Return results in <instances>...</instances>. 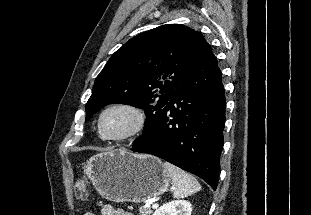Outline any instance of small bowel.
Here are the masks:
<instances>
[{"label":"small bowel","mask_w":311,"mask_h":215,"mask_svg":"<svg viewBox=\"0 0 311 215\" xmlns=\"http://www.w3.org/2000/svg\"><path fill=\"white\" fill-rule=\"evenodd\" d=\"M83 215H95L92 212H86ZM100 215H134L131 212L124 211L122 209H117L110 204H106L101 208Z\"/></svg>","instance_id":"small-bowel-1"}]
</instances>
